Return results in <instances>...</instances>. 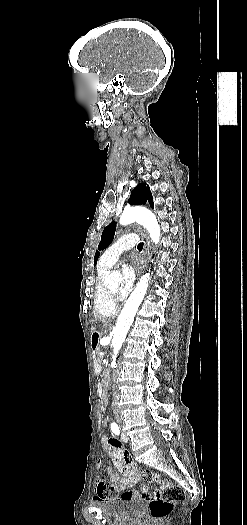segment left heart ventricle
<instances>
[{
	"label": "left heart ventricle",
	"mask_w": 247,
	"mask_h": 525,
	"mask_svg": "<svg viewBox=\"0 0 247 525\" xmlns=\"http://www.w3.org/2000/svg\"><path fill=\"white\" fill-rule=\"evenodd\" d=\"M115 268L122 273L124 270H132L134 269V265L132 264L130 260V253L127 252L124 255L120 257V259L116 262ZM119 282H112L108 284V288L112 292H117L119 290Z\"/></svg>",
	"instance_id": "b2bd125f"
}]
</instances>
